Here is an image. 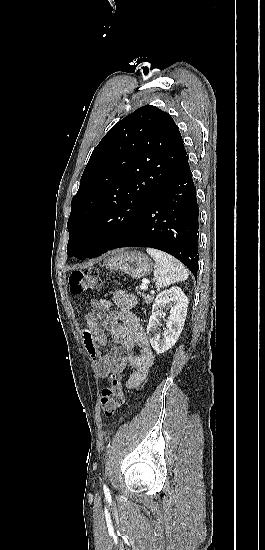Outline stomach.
<instances>
[{"mask_svg": "<svg viewBox=\"0 0 265 550\" xmlns=\"http://www.w3.org/2000/svg\"><path fill=\"white\" fill-rule=\"evenodd\" d=\"M104 264L108 270L122 271L134 279L145 277L152 271L150 258L139 251H114Z\"/></svg>", "mask_w": 265, "mask_h": 550, "instance_id": "1", "label": "stomach"}]
</instances>
